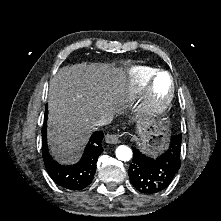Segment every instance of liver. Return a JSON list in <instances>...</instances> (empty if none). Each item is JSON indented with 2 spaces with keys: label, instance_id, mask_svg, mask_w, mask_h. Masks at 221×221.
<instances>
[{
  "label": "liver",
  "instance_id": "1",
  "mask_svg": "<svg viewBox=\"0 0 221 221\" xmlns=\"http://www.w3.org/2000/svg\"><path fill=\"white\" fill-rule=\"evenodd\" d=\"M132 101L122 69L107 63H79L59 69L49 84L48 144L55 159L77 161L105 115H119Z\"/></svg>",
  "mask_w": 221,
  "mask_h": 221
}]
</instances>
